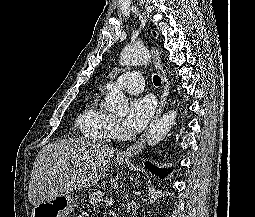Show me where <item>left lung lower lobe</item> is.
<instances>
[{"mask_svg":"<svg viewBox=\"0 0 255 217\" xmlns=\"http://www.w3.org/2000/svg\"><path fill=\"white\" fill-rule=\"evenodd\" d=\"M145 165H146V167L150 170V171H152L153 173H155L156 175H159L160 177H165L166 176V174H167V172H170L171 171V169L170 170H165V169H158V168H156V166H154V165H152V164H150V163H145Z\"/></svg>","mask_w":255,"mask_h":217,"instance_id":"0a47b994","label":"left lung lower lobe"}]
</instances>
